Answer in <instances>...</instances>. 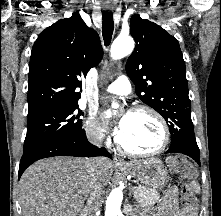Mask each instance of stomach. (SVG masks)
<instances>
[{"instance_id": "obj_1", "label": "stomach", "mask_w": 221, "mask_h": 216, "mask_svg": "<svg viewBox=\"0 0 221 216\" xmlns=\"http://www.w3.org/2000/svg\"><path fill=\"white\" fill-rule=\"evenodd\" d=\"M134 176L146 188L162 189L168 179L167 169L159 159H149L139 163H131L124 170Z\"/></svg>"}]
</instances>
